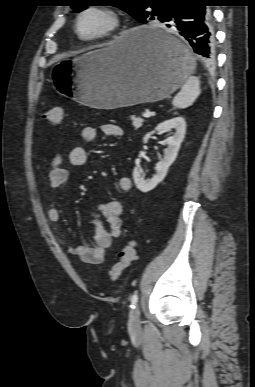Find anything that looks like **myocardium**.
I'll use <instances>...</instances> for the list:
<instances>
[{"label":"myocardium","mask_w":255,"mask_h":387,"mask_svg":"<svg viewBox=\"0 0 255 387\" xmlns=\"http://www.w3.org/2000/svg\"><path fill=\"white\" fill-rule=\"evenodd\" d=\"M88 14H96L105 20L101 29L93 34L86 35L81 30V21ZM122 20L120 14L111 7L91 5L81 9L74 21V31L76 36L85 42L97 41L106 38L117 31L121 26Z\"/></svg>","instance_id":"f54148a6"}]
</instances>
